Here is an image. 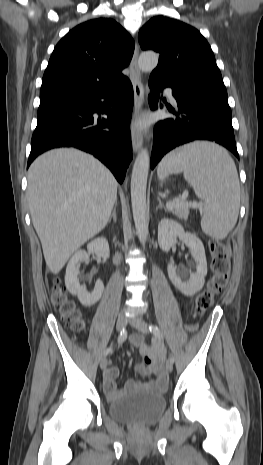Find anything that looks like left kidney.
Listing matches in <instances>:
<instances>
[{
	"mask_svg": "<svg viewBox=\"0 0 263 465\" xmlns=\"http://www.w3.org/2000/svg\"><path fill=\"white\" fill-rule=\"evenodd\" d=\"M181 239L191 250V255L196 262V272L190 280L184 281L173 262L167 266L168 276L171 282L186 296H193L200 291L207 274V261L202 241L195 235L185 232L182 225L172 219H162L158 225V243L160 248L169 252L170 248Z\"/></svg>",
	"mask_w": 263,
	"mask_h": 465,
	"instance_id": "1",
	"label": "left kidney"
}]
</instances>
